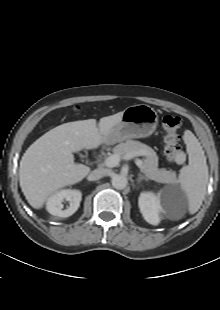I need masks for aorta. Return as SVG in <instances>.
Returning a JSON list of instances; mask_svg holds the SVG:
<instances>
[{
  "label": "aorta",
  "instance_id": "obj_1",
  "mask_svg": "<svg viewBox=\"0 0 220 310\" xmlns=\"http://www.w3.org/2000/svg\"><path fill=\"white\" fill-rule=\"evenodd\" d=\"M111 182L112 186L118 190L124 189L128 184L127 178L124 175H118V174L112 177Z\"/></svg>",
  "mask_w": 220,
  "mask_h": 310
}]
</instances>
